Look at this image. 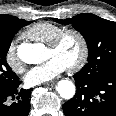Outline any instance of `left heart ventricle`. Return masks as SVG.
Listing matches in <instances>:
<instances>
[{
    "label": "left heart ventricle",
    "mask_w": 116,
    "mask_h": 116,
    "mask_svg": "<svg viewBox=\"0 0 116 116\" xmlns=\"http://www.w3.org/2000/svg\"><path fill=\"white\" fill-rule=\"evenodd\" d=\"M81 47L78 39L73 36H67L62 42L61 46L53 50L51 48L47 49L46 58L58 57L63 60L67 66L73 64L80 56Z\"/></svg>",
    "instance_id": "1"
}]
</instances>
